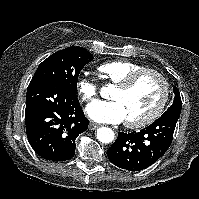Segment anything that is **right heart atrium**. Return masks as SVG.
Instances as JSON below:
<instances>
[{
    "label": "right heart atrium",
    "instance_id": "right-heart-atrium-1",
    "mask_svg": "<svg viewBox=\"0 0 199 199\" xmlns=\"http://www.w3.org/2000/svg\"><path fill=\"white\" fill-rule=\"evenodd\" d=\"M79 97L86 102L93 101L98 94V84L89 78L80 77L76 84Z\"/></svg>",
    "mask_w": 199,
    "mask_h": 199
}]
</instances>
